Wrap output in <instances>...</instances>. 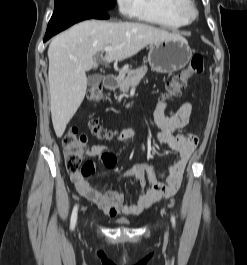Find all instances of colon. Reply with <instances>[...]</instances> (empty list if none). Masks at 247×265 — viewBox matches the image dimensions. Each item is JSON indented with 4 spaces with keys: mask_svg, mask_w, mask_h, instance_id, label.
Wrapping results in <instances>:
<instances>
[{
    "mask_svg": "<svg viewBox=\"0 0 247 265\" xmlns=\"http://www.w3.org/2000/svg\"><path fill=\"white\" fill-rule=\"evenodd\" d=\"M204 71L203 57L195 54L191 57L188 67L166 85L164 99H172L180 94L187 85V81L193 74H201ZM87 99L98 103L102 100V90L98 86L92 87L87 93ZM90 134L99 140H110L115 136V132L102 128L96 119L88 122ZM88 136L79 134L76 127H72L63 138L65 166L70 175L81 174L87 176L94 170L92 163L85 162V151Z\"/></svg>",
    "mask_w": 247,
    "mask_h": 265,
    "instance_id": "obj_1",
    "label": "colon"
}]
</instances>
